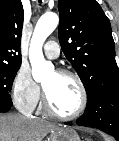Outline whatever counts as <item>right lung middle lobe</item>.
I'll use <instances>...</instances> for the list:
<instances>
[{
	"mask_svg": "<svg viewBox=\"0 0 119 141\" xmlns=\"http://www.w3.org/2000/svg\"><path fill=\"white\" fill-rule=\"evenodd\" d=\"M20 65H0V103L11 105V91L14 78Z\"/></svg>",
	"mask_w": 119,
	"mask_h": 141,
	"instance_id": "dd1d6c3e",
	"label": "right lung middle lobe"
}]
</instances>
